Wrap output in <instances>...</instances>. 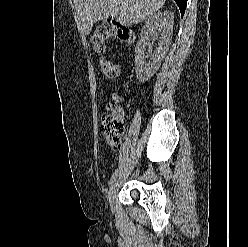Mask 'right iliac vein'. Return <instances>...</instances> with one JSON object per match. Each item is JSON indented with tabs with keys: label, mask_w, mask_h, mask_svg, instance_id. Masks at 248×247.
<instances>
[{
	"label": "right iliac vein",
	"mask_w": 248,
	"mask_h": 247,
	"mask_svg": "<svg viewBox=\"0 0 248 247\" xmlns=\"http://www.w3.org/2000/svg\"><path fill=\"white\" fill-rule=\"evenodd\" d=\"M117 189H118V180H115V182L110 187L109 194H108V199H109L111 207H113Z\"/></svg>",
	"instance_id": "obj_1"
}]
</instances>
